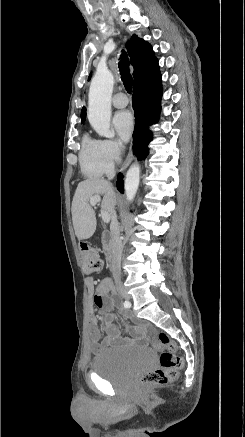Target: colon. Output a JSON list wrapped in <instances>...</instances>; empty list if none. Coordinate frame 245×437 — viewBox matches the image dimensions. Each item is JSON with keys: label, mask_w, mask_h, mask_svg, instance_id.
Listing matches in <instances>:
<instances>
[{"label": "colon", "mask_w": 245, "mask_h": 437, "mask_svg": "<svg viewBox=\"0 0 245 437\" xmlns=\"http://www.w3.org/2000/svg\"><path fill=\"white\" fill-rule=\"evenodd\" d=\"M80 255L84 274L91 275L102 270L103 260L95 248L82 244ZM157 341L162 350L159 360L160 366L141 377L140 382L144 386H161L174 381L183 365L182 357L176 352L175 343L167 334L159 333Z\"/></svg>", "instance_id": "1"}]
</instances>
